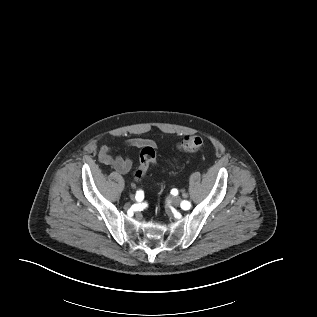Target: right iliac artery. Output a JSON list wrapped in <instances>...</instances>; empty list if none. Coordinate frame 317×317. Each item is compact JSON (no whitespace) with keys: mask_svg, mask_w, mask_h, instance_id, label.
Wrapping results in <instances>:
<instances>
[{"mask_svg":"<svg viewBox=\"0 0 317 317\" xmlns=\"http://www.w3.org/2000/svg\"><path fill=\"white\" fill-rule=\"evenodd\" d=\"M135 199L138 202H141L144 199V192L142 190H138L135 195Z\"/></svg>","mask_w":317,"mask_h":317,"instance_id":"right-iliac-artery-1","label":"right iliac artery"}]
</instances>
